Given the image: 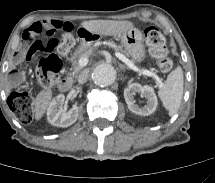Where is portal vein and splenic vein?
Here are the masks:
<instances>
[{
	"instance_id": "obj_1",
	"label": "portal vein and splenic vein",
	"mask_w": 215,
	"mask_h": 183,
	"mask_svg": "<svg viewBox=\"0 0 215 183\" xmlns=\"http://www.w3.org/2000/svg\"><path fill=\"white\" fill-rule=\"evenodd\" d=\"M115 55L122 61L124 62L126 65H128L129 68L133 69L134 71H138L141 74H144L146 76H150L153 77L155 80L158 81L159 86H162L163 83L161 81V79L153 72H150L149 70H144V69H139L138 67H136L129 59H127L123 54L116 52ZM88 64V58L87 57H83L79 60V65L81 67H85Z\"/></svg>"
}]
</instances>
